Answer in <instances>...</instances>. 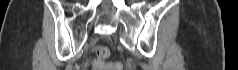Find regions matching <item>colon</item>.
<instances>
[{
	"mask_svg": "<svg viewBox=\"0 0 238 70\" xmlns=\"http://www.w3.org/2000/svg\"><path fill=\"white\" fill-rule=\"evenodd\" d=\"M96 59L94 66L97 70H120V63H105L104 59L109 56V49L105 46H97L94 50Z\"/></svg>",
	"mask_w": 238,
	"mask_h": 70,
	"instance_id": "colon-1",
	"label": "colon"
}]
</instances>
